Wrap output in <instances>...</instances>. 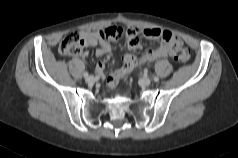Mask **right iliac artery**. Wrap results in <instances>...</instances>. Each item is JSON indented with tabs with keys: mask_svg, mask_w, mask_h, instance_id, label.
<instances>
[{
	"mask_svg": "<svg viewBox=\"0 0 238 158\" xmlns=\"http://www.w3.org/2000/svg\"><path fill=\"white\" fill-rule=\"evenodd\" d=\"M84 77L86 78V77H88V73L87 72H84Z\"/></svg>",
	"mask_w": 238,
	"mask_h": 158,
	"instance_id": "obj_1",
	"label": "right iliac artery"
}]
</instances>
